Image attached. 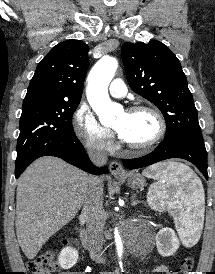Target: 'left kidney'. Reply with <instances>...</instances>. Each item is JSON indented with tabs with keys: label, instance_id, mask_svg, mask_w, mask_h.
<instances>
[{
	"label": "left kidney",
	"instance_id": "left-kidney-1",
	"mask_svg": "<svg viewBox=\"0 0 215 274\" xmlns=\"http://www.w3.org/2000/svg\"><path fill=\"white\" fill-rule=\"evenodd\" d=\"M156 246L160 255L169 257L174 255L180 246L175 231L171 228H163L156 234Z\"/></svg>",
	"mask_w": 215,
	"mask_h": 274
}]
</instances>
